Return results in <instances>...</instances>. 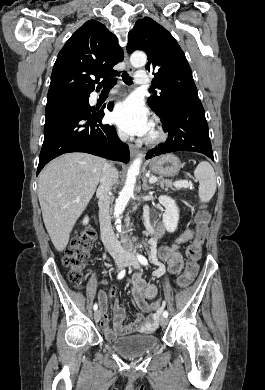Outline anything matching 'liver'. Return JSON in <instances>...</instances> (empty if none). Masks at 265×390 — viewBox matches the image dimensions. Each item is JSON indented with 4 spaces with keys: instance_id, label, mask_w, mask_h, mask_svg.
<instances>
[{
    "instance_id": "obj_1",
    "label": "liver",
    "mask_w": 265,
    "mask_h": 390,
    "mask_svg": "<svg viewBox=\"0 0 265 390\" xmlns=\"http://www.w3.org/2000/svg\"><path fill=\"white\" fill-rule=\"evenodd\" d=\"M105 161L86 153H67L45 166L39 175L38 198L43 221L57 251L70 233L100 181Z\"/></svg>"
}]
</instances>
